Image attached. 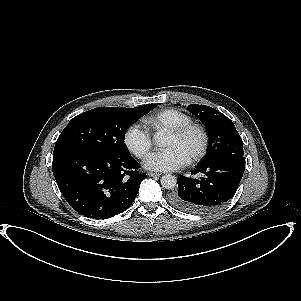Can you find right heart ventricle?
<instances>
[{
	"mask_svg": "<svg viewBox=\"0 0 301 301\" xmlns=\"http://www.w3.org/2000/svg\"><path fill=\"white\" fill-rule=\"evenodd\" d=\"M191 122L188 115L175 109L165 110L147 120L148 126L156 134L188 125Z\"/></svg>",
	"mask_w": 301,
	"mask_h": 301,
	"instance_id": "obj_1",
	"label": "right heart ventricle"
}]
</instances>
